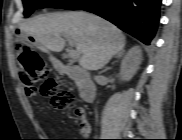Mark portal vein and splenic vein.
Here are the masks:
<instances>
[{
    "label": "portal vein and splenic vein",
    "instance_id": "1",
    "mask_svg": "<svg viewBox=\"0 0 182 140\" xmlns=\"http://www.w3.org/2000/svg\"><path fill=\"white\" fill-rule=\"evenodd\" d=\"M70 45V49L67 51L68 52V57H70L71 59H77L79 57V54L76 50H74L72 48L73 44L72 41L69 37H65Z\"/></svg>",
    "mask_w": 182,
    "mask_h": 140
}]
</instances>
